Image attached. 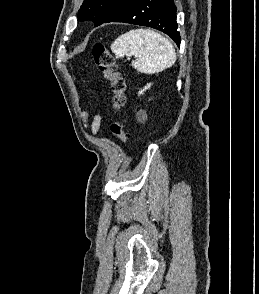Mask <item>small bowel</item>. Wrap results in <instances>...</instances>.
<instances>
[{"label":"small bowel","mask_w":259,"mask_h":294,"mask_svg":"<svg viewBox=\"0 0 259 294\" xmlns=\"http://www.w3.org/2000/svg\"><path fill=\"white\" fill-rule=\"evenodd\" d=\"M81 118L84 123V126L89 128L93 134H96L98 132L101 125V120H102L99 114H96L93 117L91 123H89V115L87 111L81 112Z\"/></svg>","instance_id":"small-bowel-1"}]
</instances>
